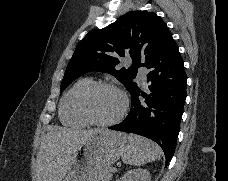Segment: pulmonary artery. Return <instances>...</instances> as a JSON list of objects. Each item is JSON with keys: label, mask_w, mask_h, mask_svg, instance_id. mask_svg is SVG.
Wrapping results in <instances>:
<instances>
[{"label": "pulmonary artery", "mask_w": 228, "mask_h": 181, "mask_svg": "<svg viewBox=\"0 0 228 181\" xmlns=\"http://www.w3.org/2000/svg\"><path fill=\"white\" fill-rule=\"evenodd\" d=\"M142 69V68H141ZM140 80H141V82H142V84H146V82H145V78H140Z\"/></svg>", "instance_id": "pulmonary-artery-1"}]
</instances>
